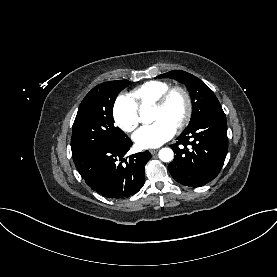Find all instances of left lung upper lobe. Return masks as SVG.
Here are the masks:
<instances>
[{"instance_id":"1","label":"left lung upper lobe","mask_w":277,"mask_h":277,"mask_svg":"<svg viewBox=\"0 0 277 277\" xmlns=\"http://www.w3.org/2000/svg\"><path fill=\"white\" fill-rule=\"evenodd\" d=\"M158 78H173L185 84L192 99V116L188 125L196 123L201 117L221 105L213 91L199 78L181 70H174L157 76ZM187 127V128H188Z\"/></svg>"}]
</instances>
